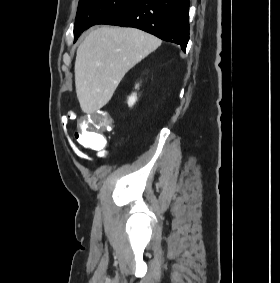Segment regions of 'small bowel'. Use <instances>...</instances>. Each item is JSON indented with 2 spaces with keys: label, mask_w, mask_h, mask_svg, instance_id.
Segmentation results:
<instances>
[{
  "label": "small bowel",
  "mask_w": 280,
  "mask_h": 283,
  "mask_svg": "<svg viewBox=\"0 0 280 283\" xmlns=\"http://www.w3.org/2000/svg\"><path fill=\"white\" fill-rule=\"evenodd\" d=\"M73 116L75 117V114H73ZM71 120H72L71 116L68 115L67 113L63 116V118L61 120L62 128L64 130V133H65V136L68 140V143H69L72 151L74 152V154L78 158L83 159L85 161H90V158L84 152H82L70 139V136H69V133H68V128H69V124H70ZM100 156L102 158H107L108 154L106 152H104V153H101Z\"/></svg>",
  "instance_id": "obj_1"
}]
</instances>
